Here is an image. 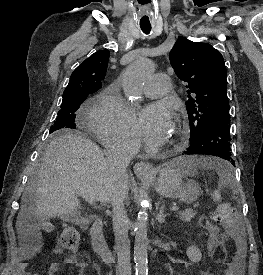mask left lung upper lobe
<instances>
[{
	"instance_id": "5c2ea615",
	"label": "left lung upper lobe",
	"mask_w": 263,
	"mask_h": 275,
	"mask_svg": "<svg viewBox=\"0 0 263 275\" xmlns=\"http://www.w3.org/2000/svg\"><path fill=\"white\" fill-rule=\"evenodd\" d=\"M176 75L186 83L190 141L214 122L230 119L227 71L223 57L210 44L179 38L169 55Z\"/></svg>"
}]
</instances>
